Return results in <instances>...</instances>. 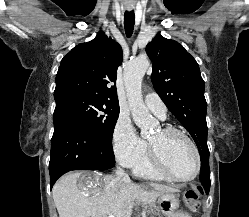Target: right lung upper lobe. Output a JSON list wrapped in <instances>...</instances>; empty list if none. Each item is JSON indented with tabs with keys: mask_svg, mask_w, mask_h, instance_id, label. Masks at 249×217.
<instances>
[{
	"mask_svg": "<svg viewBox=\"0 0 249 217\" xmlns=\"http://www.w3.org/2000/svg\"><path fill=\"white\" fill-rule=\"evenodd\" d=\"M122 62L120 45L103 32L90 42L75 46L61 61L54 96L80 93L119 104L116 72Z\"/></svg>",
	"mask_w": 249,
	"mask_h": 217,
	"instance_id": "cb5924a9",
	"label": "right lung upper lobe"
}]
</instances>
